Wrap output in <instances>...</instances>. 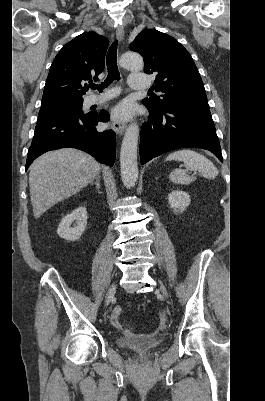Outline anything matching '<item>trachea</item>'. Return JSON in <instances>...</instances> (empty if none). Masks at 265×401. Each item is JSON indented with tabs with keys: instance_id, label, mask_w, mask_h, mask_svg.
I'll return each mask as SVG.
<instances>
[{
	"instance_id": "1",
	"label": "trachea",
	"mask_w": 265,
	"mask_h": 401,
	"mask_svg": "<svg viewBox=\"0 0 265 401\" xmlns=\"http://www.w3.org/2000/svg\"><path fill=\"white\" fill-rule=\"evenodd\" d=\"M117 46L118 42L116 40L115 42L112 43L107 52L106 63H107L108 75L106 80L103 83H101V85H95V83H89V87L92 88L93 90L97 89L99 90V92H101L102 89L108 87V85H110V83H112L113 80L120 79V73L117 67ZM148 93H153V90H149Z\"/></svg>"
}]
</instances>
